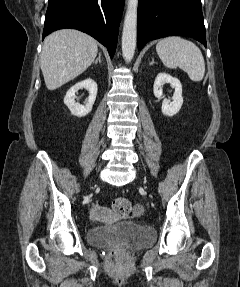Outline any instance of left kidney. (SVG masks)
Instances as JSON below:
<instances>
[{
    "label": "left kidney",
    "mask_w": 240,
    "mask_h": 287,
    "mask_svg": "<svg viewBox=\"0 0 240 287\" xmlns=\"http://www.w3.org/2000/svg\"><path fill=\"white\" fill-rule=\"evenodd\" d=\"M165 83H170L174 87L175 92L173 94L172 101L167 99L162 101V113L165 116L172 117L179 112L183 104L182 85L177 78H174L167 73H159L153 86V93L156 98L160 99L162 97V86Z\"/></svg>",
    "instance_id": "1"
}]
</instances>
